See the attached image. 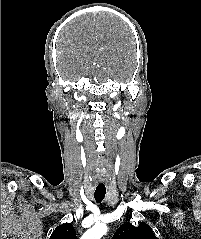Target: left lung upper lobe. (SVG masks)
<instances>
[{"instance_id":"5c2ea615","label":"left lung upper lobe","mask_w":201,"mask_h":239,"mask_svg":"<svg viewBox=\"0 0 201 239\" xmlns=\"http://www.w3.org/2000/svg\"><path fill=\"white\" fill-rule=\"evenodd\" d=\"M113 239H158L152 228L145 224L139 223L138 227L130 223L122 224L115 232Z\"/></svg>"}]
</instances>
